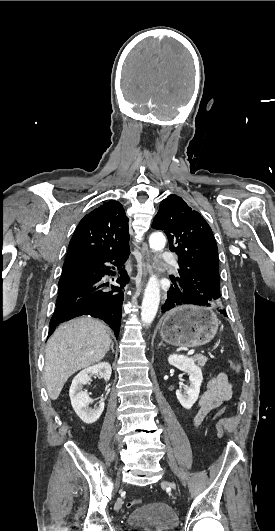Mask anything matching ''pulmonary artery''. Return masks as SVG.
Segmentation results:
<instances>
[{"mask_svg": "<svg viewBox=\"0 0 275 531\" xmlns=\"http://www.w3.org/2000/svg\"><path fill=\"white\" fill-rule=\"evenodd\" d=\"M159 256L165 259V262L169 264L171 269H176L178 267V262L176 261V258L171 250L161 251Z\"/></svg>", "mask_w": 275, "mask_h": 531, "instance_id": "e3ab8cb5", "label": "pulmonary artery"}]
</instances>
